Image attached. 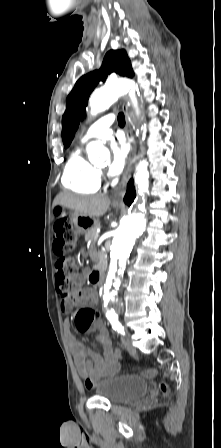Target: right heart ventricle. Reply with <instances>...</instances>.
Wrapping results in <instances>:
<instances>
[{
    "instance_id": "obj_1",
    "label": "right heart ventricle",
    "mask_w": 221,
    "mask_h": 448,
    "mask_svg": "<svg viewBox=\"0 0 221 448\" xmlns=\"http://www.w3.org/2000/svg\"><path fill=\"white\" fill-rule=\"evenodd\" d=\"M100 174L82 154L81 149H75L64 168L63 185L77 193H95L100 188Z\"/></svg>"
}]
</instances>
